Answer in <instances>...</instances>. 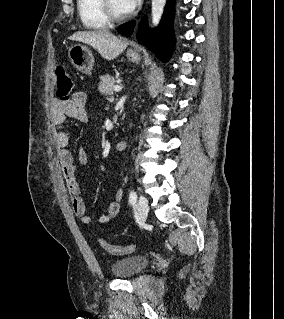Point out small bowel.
Returning <instances> with one entry per match:
<instances>
[{"instance_id": "obj_1", "label": "small bowel", "mask_w": 284, "mask_h": 319, "mask_svg": "<svg viewBox=\"0 0 284 319\" xmlns=\"http://www.w3.org/2000/svg\"><path fill=\"white\" fill-rule=\"evenodd\" d=\"M86 104L87 96L83 92H75L72 98L67 102L54 101L51 109V122L54 128V142L57 147L59 163L68 192L72 198V210L82 223L89 224L91 217L87 214L86 205L81 196V191L76 179L77 167L71 151L67 148L69 138L64 130V124L67 118H73L80 122H86L88 120ZM78 160L83 165L88 163V154L84 149L79 150ZM122 198L123 190L117 189L114 199L110 202L107 211L97 218L99 224L109 223L118 215Z\"/></svg>"}]
</instances>
